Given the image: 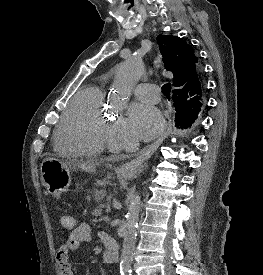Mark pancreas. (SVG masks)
Here are the masks:
<instances>
[{
    "instance_id": "pancreas-1",
    "label": "pancreas",
    "mask_w": 263,
    "mask_h": 275,
    "mask_svg": "<svg viewBox=\"0 0 263 275\" xmlns=\"http://www.w3.org/2000/svg\"><path fill=\"white\" fill-rule=\"evenodd\" d=\"M104 196L105 193L103 191H96L93 194L94 200L98 203L97 207L92 213L95 218H98L102 215V208L104 207V205L101 203V200H103Z\"/></svg>"
}]
</instances>
